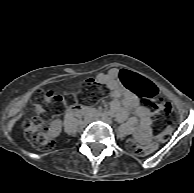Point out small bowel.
I'll use <instances>...</instances> for the list:
<instances>
[{"instance_id":"small-bowel-1","label":"small bowel","mask_w":194,"mask_h":193,"mask_svg":"<svg viewBox=\"0 0 194 193\" xmlns=\"http://www.w3.org/2000/svg\"><path fill=\"white\" fill-rule=\"evenodd\" d=\"M96 80L100 84L106 85L109 88L110 96L113 98L110 107L118 120L126 121L129 114L134 112L136 117L139 119L136 130V138L140 142L147 144L151 137L150 109L146 106L139 105V98L137 94L121 82L119 70L112 68L105 73H100L96 76ZM152 86L155 91H157L153 84Z\"/></svg>"}]
</instances>
